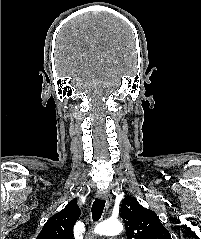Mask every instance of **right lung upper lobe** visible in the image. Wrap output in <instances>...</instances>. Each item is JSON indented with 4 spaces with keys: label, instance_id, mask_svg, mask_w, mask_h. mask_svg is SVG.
I'll list each match as a JSON object with an SVG mask.
<instances>
[{
    "label": "right lung upper lobe",
    "instance_id": "1",
    "mask_svg": "<svg viewBox=\"0 0 201 239\" xmlns=\"http://www.w3.org/2000/svg\"><path fill=\"white\" fill-rule=\"evenodd\" d=\"M80 214L77 199L71 200L47 221L36 239H73V226Z\"/></svg>",
    "mask_w": 201,
    "mask_h": 239
}]
</instances>
